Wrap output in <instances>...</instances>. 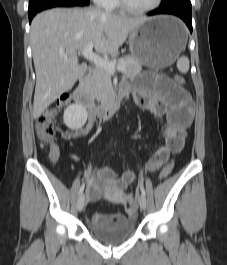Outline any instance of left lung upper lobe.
Instances as JSON below:
<instances>
[{"instance_id": "5c2ea615", "label": "left lung upper lobe", "mask_w": 227, "mask_h": 265, "mask_svg": "<svg viewBox=\"0 0 227 265\" xmlns=\"http://www.w3.org/2000/svg\"><path fill=\"white\" fill-rule=\"evenodd\" d=\"M159 8H187L191 9L190 0H162Z\"/></svg>"}]
</instances>
